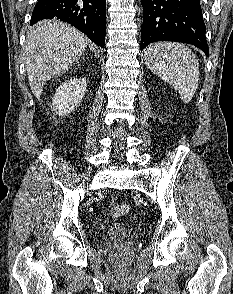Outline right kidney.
Returning a JSON list of instances; mask_svg holds the SVG:
<instances>
[{
  "instance_id": "1",
  "label": "right kidney",
  "mask_w": 233,
  "mask_h": 294,
  "mask_svg": "<svg viewBox=\"0 0 233 294\" xmlns=\"http://www.w3.org/2000/svg\"><path fill=\"white\" fill-rule=\"evenodd\" d=\"M86 88L85 78H70L57 89L51 109L59 116L68 115L82 101Z\"/></svg>"
}]
</instances>
